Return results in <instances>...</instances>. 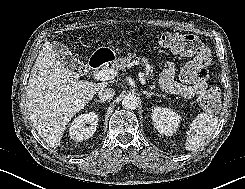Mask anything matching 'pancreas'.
I'll return each mask as SVG.
<instances>
[{"label": "pancreas", "mask_w": 245, "mask_h": 189, "mask_svg": "<svg viewBox=\"0 0 245 189\" xmlns=\"http://www.w3.org/2000/svg\"><path fill=\"white\" fill-rule=\"evenodd\" d=\"M133 61H137L141 65H145L146 66L145 75L148 78L153 79V77H154L153 67L151 65H149L148 59L147 58H139L137 56V54H128V56H126V57H120L117 60H114L111 64V66H112V68H115L117 70H125L127 64H129L130 62H133Z\"/></svg>", "instance_id": "pancreas-1"}]
</instances>
